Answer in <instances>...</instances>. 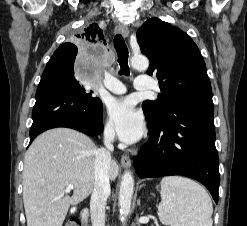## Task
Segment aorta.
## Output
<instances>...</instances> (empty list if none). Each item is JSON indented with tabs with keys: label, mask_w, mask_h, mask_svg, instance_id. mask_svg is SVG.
Returning a JSON list of instances; mask_svg holds the SVG:
<instances>
[{
	"label": "aorta",
	"mask_w": 247,
	"mask_h": 226,
	"mask_svg": "<svg viewBox=\"0 0 247 226\" xmlns=\"http://www.w3.org/2000/svg\"><path fill=\"white\" fill-rule=\"evenodd\" d=\"M131 66L137 70H146L149 67V60L147 57L138 55L131 59ZM134 192V179L130 171H126L122 176L120 192H119V206L121 220L129 214L131 208V200Z\"/></svg>",
	"instance_id": "obj_1"
}]
</instances>
